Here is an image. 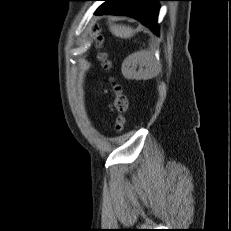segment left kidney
Returning a JSON list of instances; mask_svg holds the SVG:
<instances>
[{
    "label": "left kidney",
    "mask_w": 231,
    "mask_h": 231,
    "mask_svg": "<svg viewBox=\"0 0 231 231\" xmlns=\"http://www.w3.org/2000/svg\"><path fill=\"white\" fill-rule=\"evenodd\" d=\"M137 65L140 69L137 71ZM122 74L128 80H147L159 72V64L155 57L146 50L129 55L122 63Z\"/></svg>",
    "instance_id": "obj_1"
}]
</instances>
